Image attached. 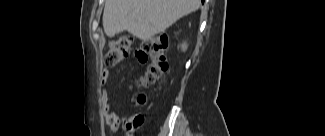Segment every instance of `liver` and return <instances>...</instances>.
<instances>
[{
	"mask_svg": "<svg viewBox=\"0 0 325 136\" xmlns=\"http://www.w3.org/2000/svg\"><path fill=\"white\" fill-rule=\"evenodd\" d=\"M200 5L201 0H106L104 32L111 38L127 31L145 41L164 32Z\"/></svg>",
	"mask_w": 325,
	"mask_h": 136,
	"instance_id": "obj_1",
	"label": "liver"
}]
</instances>
